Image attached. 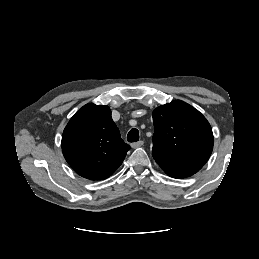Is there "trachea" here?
Returning <instances> with one entry per match:
<instances>
[{
    "label": "trachea",
    "mask_w": 259,
    "mask_h": 259,
    "mask_svg": "<svg viewBox=\"0 0 259 259\" xmlns=\"http://www.w3.org/2000/svg\"><path fill=\"white\" fill-rule=\"evenodd\" d=\"M128 142H137L139 140V131L133 128L129 131L127 135Z\"/></svg>",
    "instance_id": "trachea-1"
}]
</instances>
